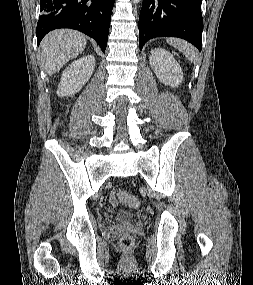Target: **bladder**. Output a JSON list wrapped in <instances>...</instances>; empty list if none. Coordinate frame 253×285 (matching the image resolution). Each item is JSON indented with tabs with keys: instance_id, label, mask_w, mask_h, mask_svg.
Here are the masks:
<instances>
[{
	"instance_id": "obj_1",
	"label": "bladder",
	"mask_w": 253,
	"mask_h": 285,
	"mask_svg": "<svg viewBox=\"0 0 253 285\" xmlns=\"http://www.w3.org/2000/svg\"><path fill=\"white\" fill-rule=\"evenodd\" d=\"M132 218V215L130 213H121L118 215L119 220H129Z\"/></svg>"
}]
</instances>
